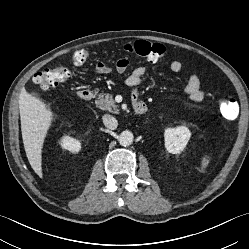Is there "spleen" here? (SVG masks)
<instances>
[{"label": "spleen", "instance_id": "3e777b00", "mask_svg": "<svg viewBox=\"0 0 249 249\" xmlns=\"http://www.w3.org/2000/svg\"><path fill=\"white\" fill-rule=\"evenodd\" d=\"M209 164V157L208 156H205L203 157L202 159V164H201V172L204 171V169L207 167V165Z\"/></svg>", "mask_w": 249, "mask_h": 249}]
</instances>
